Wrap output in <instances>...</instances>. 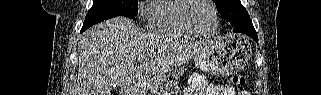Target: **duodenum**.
<instances>
[{
    "label": "duodenum",
    "mask_w": 321,
    "mask_h": 95,
    "mask_svg": "<svg viewBox=\"0 0 321 95\" xmlns=\"http://www.w3.org/2000/svg\"><path fill=\"white\" fill-rule=\"evenodd\" d=\"M135 94H143V93H135V92H132L130 89H124L121 92V95H135Z\"/></svg>",
    "instance_id": "obj_1"
}]
</instances>
